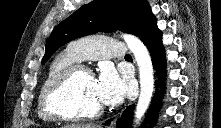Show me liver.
<instances>
[{
	"instance_id": "6515ba94",
	"label": "liver",
	"mask_w": 221,
	"mask_h": 128,
	"mask_svg": "<svg viewBox=\"0 0 221 128\" xmlns=\"http://www.w3.org/2000/svg\"><path fill=\"white\" fill-rule=\"evenodd\" d=\"M64 128H97V127L91 124H71L64 126Z\"/></svg>"
}]
</instances>
